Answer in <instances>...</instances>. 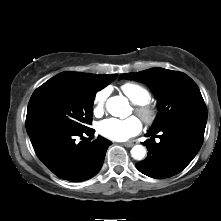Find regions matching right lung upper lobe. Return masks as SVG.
<instances>
[{"label": "right lung upper lobe", "instance_id": "1", "mask_svg": "<svg viewBox=\"0 0 221 221\" xmlns=\"http://www.w3.org/2000/svg\"><path fill=\"white\" fill-rule=\"evenodd\" d=\"M58 76L71 77L76 80L84 81V82L104 88L105 86L110 84L117 77V74L96 75V74L67 71V72H62V73L58 74Z\"/></svg>", "mask_w": 221, "mask_h": 221}]
</instances>
